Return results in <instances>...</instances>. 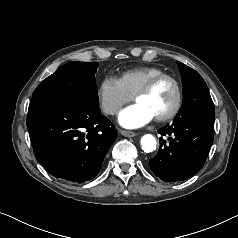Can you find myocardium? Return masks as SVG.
Wrapping results in <instances>:
<instances>
[{
	"label": "myocardium",
	"instance_id": "myocardium-1",
	"mask_svg": "<svg viewBox=\"0 0 238 238\" xmlns=\"http://www.w3.org/2000/svg\"><path fill=\"white\" fill-rule=\"evenodd\" d=\"M163 80H169L173 83L176 91V100L173 107L168 113L155 117V120L158 122H166L172 120L179 113L183 103V89L179 80L167 73L160 74L151 78L133 95V100L136 101L138 97L148 94L158 83Z\"/></svg>",
	"mask_w": 238,
	"mask_h": 238
}]
</instances>
